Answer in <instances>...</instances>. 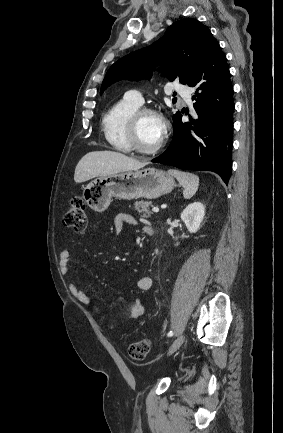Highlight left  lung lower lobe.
Returning a JSON list of instances; mask_svg holds the SVG:
<instances>
[{
  "instance_id": "0a47b994",
  "label": "left lung lower lobe",
  "mask_w": 283,
  "mask_h": 433,
  "mask_svg": "<svg viewBox=\"0 0 283 433\" xmlns=\"http://www.w3.org/2000/svg\"><path fill=\"white\" fill-rule=\"evenodd\" d=\"M187 85L197 116L182 122L173 117V138L160 156L152 160L183 170L212 171L228 184L231 175L233 136V87L225 54L213 44L195 68Z\"/></svg>"
}]
</instances>
